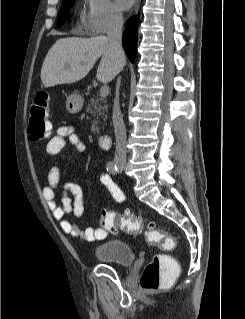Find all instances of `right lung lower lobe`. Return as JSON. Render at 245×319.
I'll return each mask as SVG.
<instances>
[{
    "label": "right lung lower lobe",
    "mask_w": 245,
    "mask_h": 319,
    "mask_svg": "<svg viewBox=\"0 0 245 319\" xmlns=\"http://www.w3.org/2000/svg\"><path fill=\"white\" fill-rule=\"evenodd\" d=\"M137 41V23L134 17L127 22L125 32L123 34V45L127 56L131 62H134L136 55Z\"/></svg>",
    "instance_id": "1"
}]
</instances>
